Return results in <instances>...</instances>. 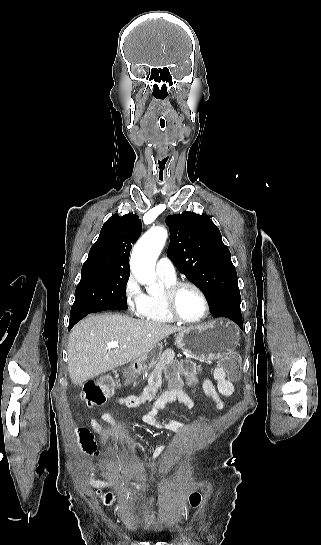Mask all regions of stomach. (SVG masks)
Segmentation results:
<instances>
[{
	"mask_svg": "<svg viewBox=\"0 0 321 545\" xmlns=\"http://www.w3.org/2000/svg\"><path fill=\"white\" fill-rule=\"evenodd\" d=\"M239 341L240 331L237 325L228 319H214L204 325L188 327L179 331L175 339L178 349H182L193 359H205V361H214L224 357L226 353H232L239 345ZM161 353L162 345L157 343L154 349L131 361L128 367H123L122 373L126 377H136L141 373H147L155 367Z\"/></svg>",
	"mask_w": 321,
	"mask_h": 545,
	"instance_id": "1",
	"label": "stomach"
}]
</instances>
